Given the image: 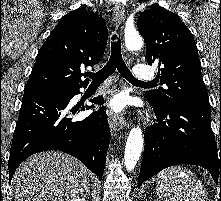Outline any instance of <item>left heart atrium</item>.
<instances>
[{
	"instance_id": "39dd6f15",
	"label": "left heart atrium",
	"mask_w": 221,
	"mask_h": 201,
	"mask_svg": "<svg viewBox=\"0 0 221 201\" xmlns=\"http://www.w3.org/2000/svg\"><path fill=\"white\" fill-rule=\"evenodd\" d=\"M125 97L123 95H115L108 102V106L112 111H121L125 107Z\"/></svg>"
}]
</instances>
